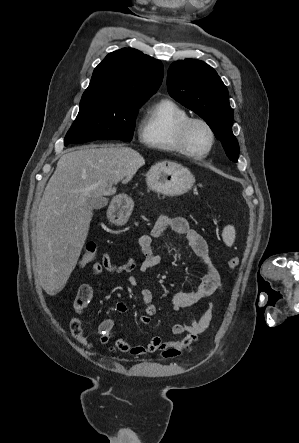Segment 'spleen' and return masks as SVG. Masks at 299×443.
I'll list each match as a JSON object with an SVG mask.
<instances>
[{"instance_id":"1","label":"spleen","mask_w":299,"mask_h":443,"mask_svg":"<svg viewBox=\"0 0 299 443\" xmlns=\"http://www.w3.org/2000/svg\"><path fill=\"white\" fill-rule=\"evenodd\" d=\"M222 238L226 245L231 246L235 239V229L233 226H226L222 232Z\"/></svg>"}]
</instances>
